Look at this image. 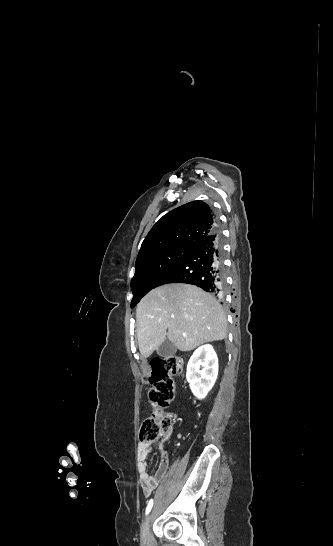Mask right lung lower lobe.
<instances>
[{
  "label": "right lung lower lobe",
  "mask_w": 333,
  "mask_h": 546,
  "mask_svg": "<svg viewBox=\"0 0 333 546\" xmlns=\"http://www.w3.org/2000/svg\"><path fill=\"white\" fill-rule=\"evenodd\" d=\"M223 256L222 235L216 227L215 231L199 240L188 255L162 277L157 286L186 283L221 295L225 285Z\"/></svg>",
  "instance_id": "obj_1"
}]
</instances>
